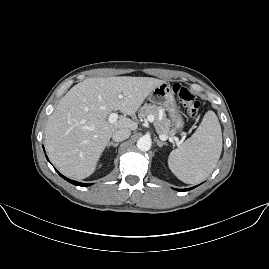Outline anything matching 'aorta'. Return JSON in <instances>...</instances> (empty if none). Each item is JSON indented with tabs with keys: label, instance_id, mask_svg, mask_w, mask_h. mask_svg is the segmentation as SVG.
I'll return each instance as SVG.
<instances>
[{
	"label": "aorta",
	"instance_id": "1",
	"mask_svg": "<svg viewBox=\"0 0 269 269\" xmlns=\"http://www.w3.org/2000/svg\"><path fill=\"white\" fill-rule=\"evenodd\" d=\"M136 146L140 151L147 152L151 148V140L148 137H142L137 141Z\"/></svg>",
	"mask_w": 269,
	"mask_h": 269
}]
</instances>
